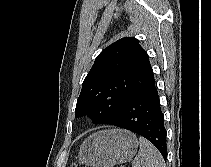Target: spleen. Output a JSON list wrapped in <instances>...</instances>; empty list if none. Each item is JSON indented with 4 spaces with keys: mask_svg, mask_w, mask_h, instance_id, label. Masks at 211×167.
Returning <instances> with one entry per match:
<instances>
[{
    "mask_svg": "<svg viewBox=\"0 0 211 167\" xmlns=\"http://www.w3.org/2000/svg\"><path fill=\"white\" fill-rule=\"evenodd\" d=\"M140 151L132 162V167H166L163 157L147 139L139 138Z\"/></svg>",
    "mask_w": 211,
    "mask_h": 167,
    "instance_id": "obj_1",
    "label": "spleen"
}]
</instances>
